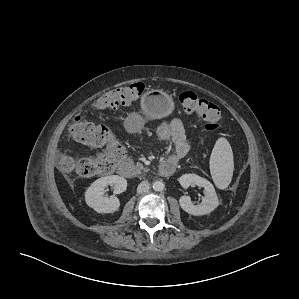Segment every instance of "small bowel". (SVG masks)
<instances>
[{"label": "small bowel", "mask_w": 299, "mask_h": 299, "mask_svg": "<svg viewBox=\"0 0 299 299\" xmlns=\"http://www.w3.org/2000/svg\"><path fill=\"white\" fill-rule=\"evenodd\" d=\"M157 136L160 140L171 142L174 145L173 152L166 160L174 161L177 164L188 154L190 147L186 140L183 122L179 118L162 123L157 128Z\"/></svg>", "instance_id": "1"}]
</instances>
